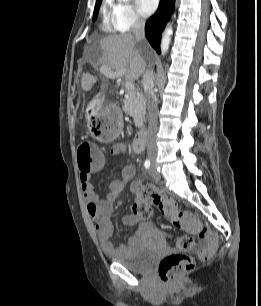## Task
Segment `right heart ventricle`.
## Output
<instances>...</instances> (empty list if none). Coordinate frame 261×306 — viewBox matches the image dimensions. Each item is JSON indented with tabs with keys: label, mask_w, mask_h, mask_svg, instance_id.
Listing matches in <instances>:
<instances>
[{
	"label": "right heart ventricle",
	"mask_w": 261,
	"mask_h": 306,
	"mask_svg": "<svg viewBox=\"0 0 261 306\" xmlns=\"http://www.w3.org/2000/svg\"><path fill=\"white\" fill-rule=\"evenodd\" d=\"M103 28L106 32H114V28L111 21V8L110 3H104L102 6Z\"/></svg>",
	"instance_id": "1"
}]
</instances>
